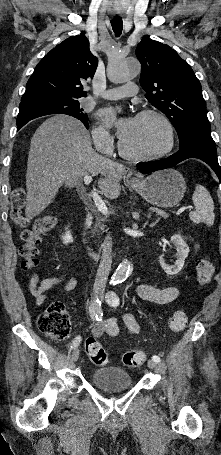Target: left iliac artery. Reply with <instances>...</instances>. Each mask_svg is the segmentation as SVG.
<instances>
[{"mask_svg":"<svg viewBox=\"0 0 221 455\" xmlns=\"http://www.w3.org/2000/svg\"><path fill=\"white\" fill-rule=\"evenodd\" d=\"M106 301L107 303L110 305V306H113V307H116L119 305V297L118 295L114 292V291H109L107 294H106ZM152 360L159 363L161 360H160V357L154 355L152 357Z\"/></svg>","mask_w":221,"mask_h":455,"instance_id":"obj_1","label":"left iliac artery"}]
</instances>
